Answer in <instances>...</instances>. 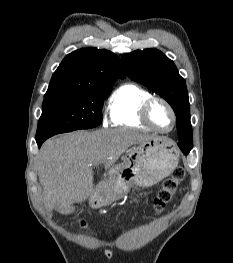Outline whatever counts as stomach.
Returning <instances> with one entry per match:
<instances>
[{
    "label": "stomach",
    "instance_id": "obj_1",
    "mask_svg": "<svg viewBox=\"0 0 233 263\" xmlns=\"http://www.w3.org/2000/svg\"><path fill=\"white\" fill-rule=\"evenodd\" d=\"M179 154L167 138L155 136L134 146L106 183L105 190L90 199L93 208L125 196L132 186L151 187L169 176L178 166Z\"/></svg>",
    "mask_w": 233,
    "mask_h": 263
}]
</instances>
